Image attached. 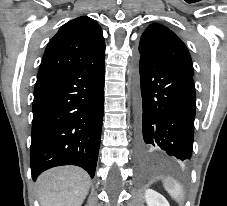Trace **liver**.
Here are the masks:
<instances>
[{
	"mask_svg": "<svg viewBox=\"0 0 227 206\" xmlns=\"http://www.w3.org/2000/svg\"><path fill=\"white\" fill-rule=\"evenodd\" d=\"M37 183L41 206H81L89 192L90 177L79 167L64 166L45 171Z\"/></svg>",
	"mask_w": 227,
	"mask_h": 206,
	"instance_id": "1",
	"label": "liver"
}]
</instances>
